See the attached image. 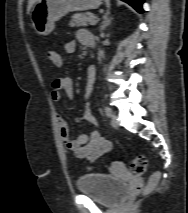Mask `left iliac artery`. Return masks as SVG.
<instances>
[{"label":"left iliac artery","instance_id":"44dca946","mask_svg":"<svg viewBox=\"0 0 188 213\" xmlns=\"http://www.w3.org/2000/svg\"><path fill=\"white\" fill-rule=\"evenodd\" d=\"M105 114L108 116V117H112L113 116V112L111 110L110 107L106 106L105 107Z\"/></svg>","mask_w":188,"mask_h":213}]
</instances>
